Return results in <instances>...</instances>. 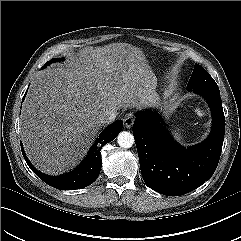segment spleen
<instances>
[{"instance_id": "1", "label": "spleen", "mask_w": 241, "mask_h": 241, "mask_svg": "<svg viewBox=\"0 0 241 241\" xmlns=\"http://www.w3.org/2000/svg\"><path fill=\"white\" fill-rule=\"evenodd\" d=\"M172 134H173V136H174V138H175V140L177 141V142H182V135H181V133H180V131H179V129L178 130H173L172 131Z\"/></svg>"}]
</instances>
